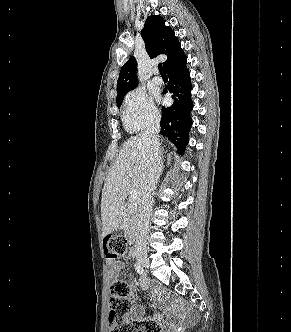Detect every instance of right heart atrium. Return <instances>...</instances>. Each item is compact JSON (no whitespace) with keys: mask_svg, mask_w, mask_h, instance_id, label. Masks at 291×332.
I'll use <instances>...</instances> for the list:
<instances>
[{"mask_svg":"<svg viewBox=\"0 0 291 332\" xmlns=\"http://www.w3.org/2000/svg\"><path fill=\"white\" fill-rule=\"evenodd\" d=\"M123 121L132 131H142L159 121V112L150 97L140 88L130 91L123 103Z\"/></svg>","mask_w":291,"mask_h":332,"instance_id":"obj_1","label":"right heart atrium"}]
</instances>
